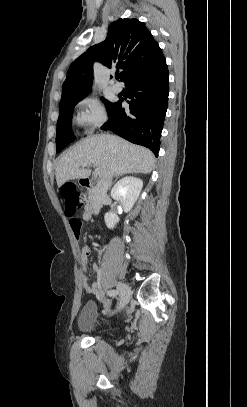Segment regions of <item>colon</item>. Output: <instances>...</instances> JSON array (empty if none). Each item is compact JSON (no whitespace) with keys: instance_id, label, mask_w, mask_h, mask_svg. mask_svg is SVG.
Masks as SVG:
<instances>
[{"instance_id":"5ec220e1","label":"colon","mask_w":247,"mask_h":407,"mask_svg":"<svg viewBox=\"0 0 247 407\" xmlns=\"http://www.w3.org/2000/svg\"><path fill=\"white\" fill-rule=\"evenodd\" d=\"M61 196L64 200L65 215L72 217L76 210L83 205L84 196L77 191L76 186L72 183L65 184L61 188ZM71 228L77 238L82 233V223L77 219H71Z\"/></svg>"}]
</instances>
